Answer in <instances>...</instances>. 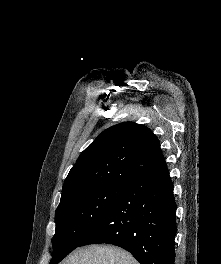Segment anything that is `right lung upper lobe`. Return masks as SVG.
<instances>
[{"label": "right lung upper lobe", "instance_id": "1", "mask_svg": "<svg viewBox=\"0 0 221 264\" xmlns=\"http://www.w3.org/2000/svg\"><path fill=\"white\" fill-rule=\"evenodd\" d=\"M164 166L160 142L151 130L123 122L103 131L81 153L65 179L61 200L99 184H127Z\"/></svg>", "mask_w": 221, "mask_h": 264}]
</instances>
